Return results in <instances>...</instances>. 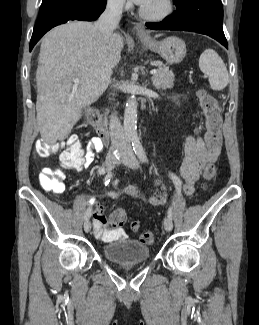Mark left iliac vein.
Instances as JSON below:
<instances>
[{"instance_id":"obj_1","label":"left iliac vein","mask_w":259,"mask_h":325,"mask_svg":"<svg viewBox=\"0 0 259 325\" xmlns=\"http://www.w3.org/2000/svg\"><path fill=\"white\" fill-rule=\"evenodd\" d=\"M122 162L131 169H138L139 167V162L131 150L125 152ZM164 228L168 232H170L173 228V223L169 216L164 219Z\"/></svg>"}]
</instances>
